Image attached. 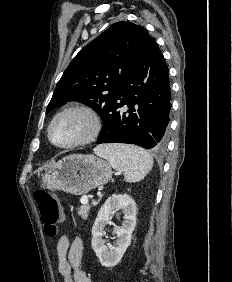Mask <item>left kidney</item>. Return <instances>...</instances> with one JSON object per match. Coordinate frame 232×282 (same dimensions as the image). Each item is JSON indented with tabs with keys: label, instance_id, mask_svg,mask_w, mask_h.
<instances>
[{
	"label": "left kidney",
	"instance_id": "5707ae66",
	"mask_svg": "<svg viewBox=\"0 0 232 282\" xmlns=\"http://www.w3.org/2000/svg\"><path fill=\"white\" fill-rule=\"evenodd\" d=\"M117 210L123 212V222L120 227L114 229L118 237L116 246L108 249L102 237L111 213ZM136 212V203L127 194L111 195L100 208L92 227V248L104 267L117 265L130 245L132 232L136 225Z\"/></svg>",
	"mask_w": 232,
	"mask_h": 282
}]
</instances>
